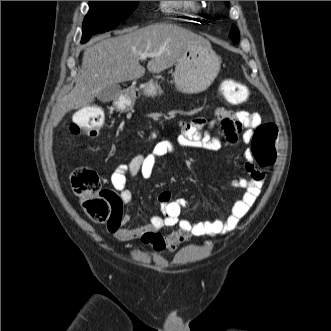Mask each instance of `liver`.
<instances>
[{
	"label": "liver",
	"mask_w": 331,
	"mask_h": 331,
	"mask_svg": "<svg viewBox=\"0 0 331 331\" xmlns=\"http://www.w3.org/2000/svg\"><path fill=\"white\" fill-rule=\"evenodd\" d=\"M201 43L209 42L177 25L157 23L90 44L84 51L75 86L52 109L50 124L56 127L66 113L93 102L106 86L143 77L141 54H158L150 57L147 69L160 73L172 67L189 48Z\"/></svg>",
	"instance_id": "liver-1"
}]
</instances>
